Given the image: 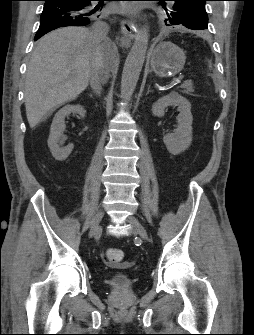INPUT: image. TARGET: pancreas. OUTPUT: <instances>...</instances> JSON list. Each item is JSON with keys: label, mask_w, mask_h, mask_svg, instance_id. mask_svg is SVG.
Masks as SVG:
<instances>
[{"label": "pancreas", "mask_w": 254, "mask_h": 335, "mask_svg": "<svg viewBox=\"0 0 254 335\" xmlns=\"http://www.w3.org/2000/svg\"><path fill=\"white\" fill-rule=\"evenodd\" d=\"M181 88L183 89L184 94L192 95V92H194L193 89V84L191 81H185L182 85Z\"/></svg>", "instance_id": "obj_1"}]
</instances>
